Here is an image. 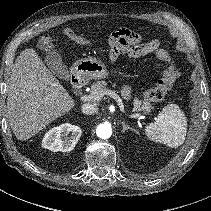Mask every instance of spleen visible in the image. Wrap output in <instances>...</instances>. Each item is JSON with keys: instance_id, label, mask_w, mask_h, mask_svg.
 Wrapping results in <instances>:
<instances>
[{"instance_id": "obj_1", "label": "spleen", "mask_w": 211, "mask_h": 211, "mask_svg": "<svg viewBox=\"0 0 211 211\" xmlns=\"http://www.w3.org/2000/svg\"><path fill=\"white\" fill-rule=\"evenodd\" d=\"M187 132L185 114L176 104H168L158 114L157 120L145 128V135L153 142L171 148L182 145Z\"/></svg>"}]
</instances>
